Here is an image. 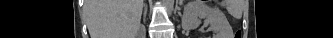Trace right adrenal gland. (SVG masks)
<instances>
[{"instance_id":"2a0ac1e0","label":"right adrenal gland","mask_w":333,"mask_h":38,"mask_svg":"<svg viewBox=\"0 0 333 38\" xmlns=\"http://www.w3.org/2000/svg\"><path fill=\"white\" fill-rule=\"evenodd\" d=\"M146 14H147V6L146 5H144V19L146 18Z\"/></svg>"}]
</instances>
